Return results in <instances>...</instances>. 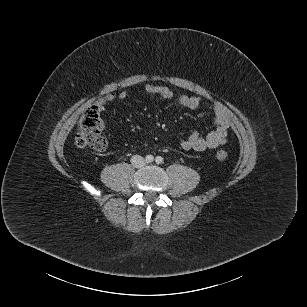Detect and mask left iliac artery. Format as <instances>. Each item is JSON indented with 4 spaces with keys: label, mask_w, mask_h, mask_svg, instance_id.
I'll list each match as a JSON object with an SVG mask.
<instances>
[{
    "label": "left iliac artery",
    "mask_w": 307,
    "mask_h": 307,
    "mask_svg": "<svg viewBox=\"0 0 307 307\" xmlns=\"http://www.w3.org/2000/svg\"><path fill=\"white\" fill-rule=\"evenodd\" d=\"M163 158L161 157V156H157L156 157V159H155V162L157 163V164H162L163 163Z\"/></svg>",
    "instance_id": "44dca946"
}]
</instances>
